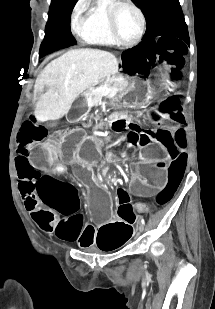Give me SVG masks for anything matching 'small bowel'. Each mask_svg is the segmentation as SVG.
Listing matches in <instances>:
<instances>
[{"label": "small bowel", "instance_id": "obj_1", "mask_svg": "<svg viewBox=\"0 0 215 309\" xmlns=\"http://www.w3.org/2000/svg\"><path fill=\"white\" fill-rule=\"evenodd\" d=\"M125 127L131 128L132 130H135L137 128L134 123H130V122H128V124ZM125 127H123V128H125Z\"/></svg>", "mask_w": 215, "mask_h": 309}]
</instances>
